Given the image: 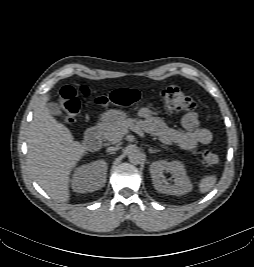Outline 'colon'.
<instances>
[{
    "mask_svg": "<svg viewBox=\"0 0 254 267\" xmlns=\"http://www.w3.org/2000/svg\"><path fill=\"white\" fill-rule=\"evenodd\" d=\"M83 95H88L86 87L80 89ZM161 101L168 112H191L196 104L192 98L186 95L176 86H168L161 92ZM142 99L139 91L135 89H117L104 96H98L94 102L100 107L118 106L129 107L138 103ZM59 104L64 112L67 122H74L80 112V101L77 90L72 86H64L59 92ZM202 162L205 166H215L219 164L220 157L212 151H205L202 154Z\"/></svg>",
    "mask_w": 254,
    "mask_h": 267,
    "instance_id": "1",
    "label": "colon"
}]
</instances>
